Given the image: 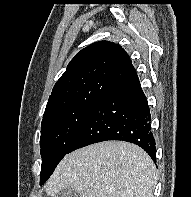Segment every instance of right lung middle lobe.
Listing matches in <instances>:
<instances>
[{"instance_id": "1", "label": "right lung middle lobe", "mask_w": 191, "mask_h": 197, "mask_svg": "<svg viewBox=\"0 0 191 197\" xmlns=\"http://www.w3.org/2000/svg\"><path fill=\"white\" fill-rule=\"evenodd\" d=\"M95 104L74 106L43 118L40 137V184L50 177L57 164L67 154Z\"/></svg>"}]
</instances>
